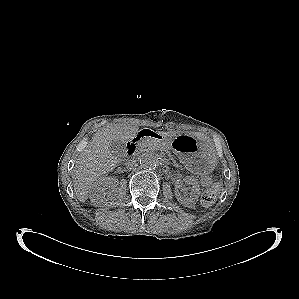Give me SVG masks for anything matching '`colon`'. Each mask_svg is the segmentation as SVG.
<instances>
[{
    "mask_svg": "<svg viewBox=\"0 0 299 299\" xmlns=\"http://www.w3.org/2000/svg\"><path fill=\"white\" fill-rule=\"evenodd\" d=\"M201 185L204 186L206 189L202 194L201 202L205 206H209L214 203L218 187L212 183V179L209 176H203L200 180Z\"/></svg>",
    "mask_w": 299,
    "mask_h": 299,
    "instance_id": "1",
    "label": "colon"
}]
</instances>
